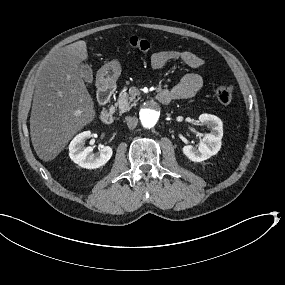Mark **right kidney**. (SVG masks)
Wrapping results in <instances>:
<instances>
[{
	"instance_id": "1",
	"label": "right kidney",
	"mask_w": 285,
	"mask_h": 285,
	"mask_svg": "<svg viewBox=\"0 0 285 285\" xmlns=\"http://www.w3.org/2000/svg\"><path fill=\"white\" fill-rule=\"evenodd\" d=\"M91 137L90 131H84L76 135L69 144V156L79 166L87 169H95L105 165L112 156V148L105 146L94 154L92 147H84L86 139Z\"/></svg>"
}]
</instances>
